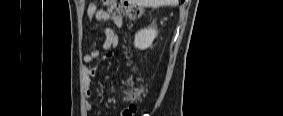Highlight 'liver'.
Segmentation results:
<instances>
[{
	"label": "liver",
	"mask_w": 283,
	"mask_h": 116,
	"mask_svg": "<svg viewBox=\"0 0 283 116\" xmlns=\"http://www.w3.org/2000/svg\"><path fill=\"white\" fill-rule=\"evenodd\" d=\"M131 2L144 7L176 6L179 3L178 0H131Z\"/></svg>",
	"instance_id": "6515ba94"
}]
</instances>
